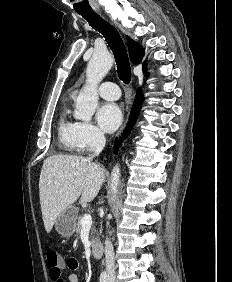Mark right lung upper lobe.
Here are the masks:
<instances>
[{
	"mask_svg": "<svg viewBox=\"0 0 232 282\" xmlns=\"http://www.w3.org/2000/svg\"><path fill=\"white\" fill-rule=\"evenodd\" d=\"M127 41H128V49H129V55H130L131 62L133 64H139L144 55V51L142 47L138 43L130 39V37H127ZM143 70H144V74L148 73V72H145L146 70L145 63L143 64Z\"/></svg>",
	"mask_w": 232,
	"mask_h": 282,
	"instance_id": "cb5924a9",
	"label": "right lung upper lobe"
}]
</instances>
